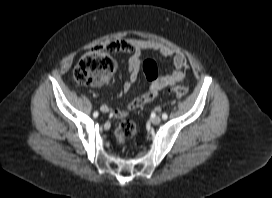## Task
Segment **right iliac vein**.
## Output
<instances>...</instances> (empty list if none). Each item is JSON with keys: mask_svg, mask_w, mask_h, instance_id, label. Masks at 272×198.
Here are the masks:
<instances>
[{"mask_svg": "<svg viewBox=\"0 0 272 198\" xmlns=\"http://www.w3.org/2000/svg\"><path fill=\"white\" fill-rule=\"evenodd\" d=\"M100 109L103 113H107L109 111V108L106 105L101 106Z\"/></svg>", "mask_w": 272, "mask_h": 198, "instance_id": "63e3f726", "label": "right iliac vein"}]
</instances>
